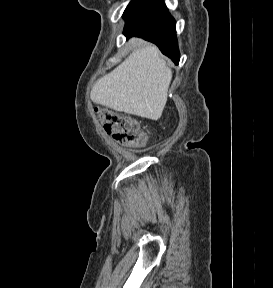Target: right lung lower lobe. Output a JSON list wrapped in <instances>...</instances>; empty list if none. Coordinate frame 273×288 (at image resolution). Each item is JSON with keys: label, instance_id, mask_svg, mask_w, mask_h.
Instances as JSON below:
<instances>
[{"label": "right lung lower lobe", "instance_id": "98d812e1", "mask_svg": "<svg viewBox=\"0 0 273 288\" xmlns=\"http://www.w3.org/2000/svg\"><path fill=\"white\" fill-rule=\"evenodd\" d=\"M124 35L141 37L155 43L175 64L180 53L176 38V22L163 0H139L125 17Z\"/></svg>", "mask_w": 273, "mask_h": 288}]
</instances>
